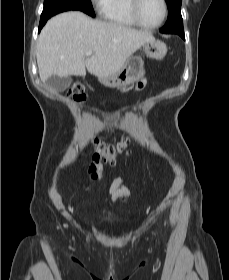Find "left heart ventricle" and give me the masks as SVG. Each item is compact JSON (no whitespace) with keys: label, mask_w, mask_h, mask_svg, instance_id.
I'll return each instance as SVG.
<instances>
[{"label":"left heart ventricle","mask_w":229,"mask_h":280,"mask_svg":"<svg viewBox=\"0 0 229 280\" xmlns=\"http://www.w3.org/2000/svg\"><path fill=\"white\" fill-rule=\"evenodd\" d=\"M139 13L146 24H157L163 15L161 0H142Z\"/></svg>","instance_id":"obj_1"}]
</instances>
